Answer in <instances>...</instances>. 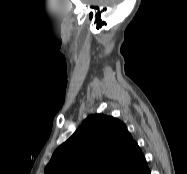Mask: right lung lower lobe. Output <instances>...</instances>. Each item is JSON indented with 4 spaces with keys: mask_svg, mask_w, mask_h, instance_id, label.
<instances>
[{
    "mask_svg": "<svg viewBox=\"0 0 187 174\" xmlns=\"http://www.w3.org/2000/svg\"><path fill=\"white\" fill-rule=\"evenodd\" d=\"M142 174H150L149 169H148V171H145V172H143Z\"/></svg>",
    "mask_w": 187,
    "mask_h": 174,
    "instance_id": "1",
    "label": "right lung lower lobe"
}]
</instances>
